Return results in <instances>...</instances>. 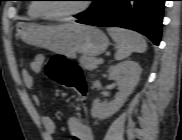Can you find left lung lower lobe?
<instances>
[{"label":"left lung lower lobe","mask_w":182,"mask_h":140,"mask_svg":"<svg viewBox=\"0 0 182 140\" xmlns=\"http://www.w3.org/2000/svg\"><path fill=\"white\" fill-rule=\"evenodd\" d=\"M99 0L77 22L135 30L159 45L165 0Z\"/></svg>","instance_id":"obj_1"}]
</instances>
